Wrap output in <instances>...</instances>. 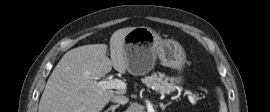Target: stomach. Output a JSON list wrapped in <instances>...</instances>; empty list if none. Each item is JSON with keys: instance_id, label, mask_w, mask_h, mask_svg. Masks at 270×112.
<instances>
[{"instance_id": "stomach-1", "label": "stomach", "mask_w": 270, "mask_h": 112, "mask_svg": "<svg viewBox=\"0 0 270 112\" xmlns=\"http://www.w3.org/2000/svg\"><path fill=\"white\" fill-rule=\"evenodd\" d=\"M124 55L127 70L135 76L148 73L158 57L162 65L183 70L185 52L182 46L173 39H162L158 33L149 27H135L124 39ZM173 84H182L183 77L171 79Z\"/></svg>"}]
</instances>
